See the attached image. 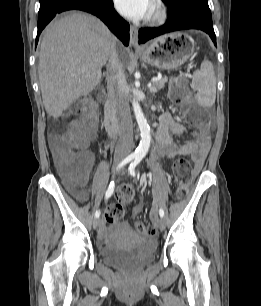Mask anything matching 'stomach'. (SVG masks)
I'll return each instance as SVG.
<instances>
[{
    "mask_svg": "<svg viewBox=\"0 0 261 306\" xmlns=\"http://www.w3.org/2000/svg\"><path fill=\"white\" fill-rule=\"evenodd\" d=\"M193 39L183 32L159 36L140 51L141 60L158 69L171 70L184 64L194 53Z\"/></svg>",
    "mask_w": 261,
    "mask_h": 306,
    "instance_id": "1",
    "label": "stomach"
}]
</instances>
